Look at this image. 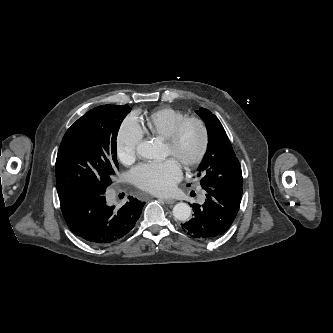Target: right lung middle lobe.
Returning a JSON list of instances; mask_svg holds the SVG:
<instances>
[{
    "mask_svg": "<svg viewBox=\"0 0 333 333\" xmlns=\"http://www.w3.org/2000/svg\"><path fill=\"white\" fill-rule=\"evenodd\" d=\"M128 105H101L88 111L65 133L56 159L59 199L104 194L115 179L116 138Z\"/></svg>",
    "mask_w": 333,
    "mask_h": 333,
    "instance_id": "1",
    "label": "right lung middle lobe"
}]
</instances>
